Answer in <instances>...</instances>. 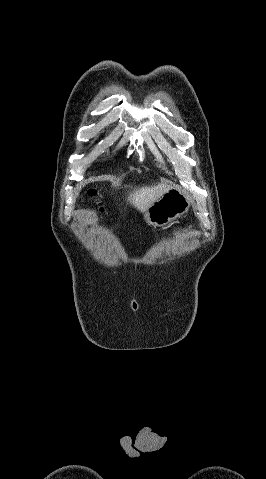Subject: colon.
<instances>
[{"label":"colon","instance_id":"colon-1","mask_svg":"<svg viewBox=\"0 0 266 479\" xmlns=\"http://www.w3.org/2000/svg\"><path fill=\"white\" fill-rule=\"evenodd\" d=\"M87 195H88L89 197H96V192H95L94 190H90V191L87 193ZM95 204H96V206L101 210L99 201H96Z\"/></svg>","mask_w":266,"mask_h":479}]
</instances>
